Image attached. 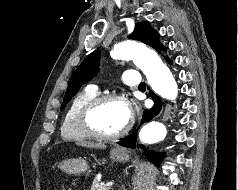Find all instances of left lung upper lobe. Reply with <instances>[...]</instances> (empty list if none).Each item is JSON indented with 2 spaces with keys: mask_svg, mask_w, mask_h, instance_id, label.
I'll return each mask as SVG.
<instances>
[{
  "mask_svg": "<svg viewBox=\"0 0 238 190\" xmlns=\"http://www.w3.org/2000/svg\"><path fill=\"white\" fill-rule=\"evenodd\" d=\"M129 38L141 41L155 48L158 52H160V49L165 50V47L159 43V34L151 27L148 21L137 23ZM99 61L100 51L96 50L90 53L79 65L71 78L61 109L66 106L84 83L88 82L97 74Z\"/></svg>",
  "mask_w": 238,
  "mask_h": 190,
  "instance_id": "left-lung-upper-lobe-1",
  "label": "left lung upper lobe"
}]
</instances>
